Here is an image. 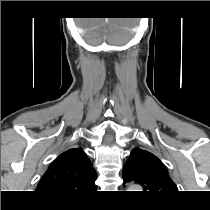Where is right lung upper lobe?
Listing matches in <instances>:
<instances>
[{
	"instance_id": "right-lung-upper-lobe-1",
	"label": "right lung upper lobe",
	"mask_w": 210,
	"mask_h": 210,
	"mask_svg": "<svg viewBox=\"0 0 210 210\" xmlns=\"http://www.w3.org/2000/svg\"><path fill=\"white\" fill-rule=\"evenodd\" d=\"M96 173L81 148L59 155L42 176L36 191L55 202L85 198L96 189Z\"/></svg>"
}]
</instances>
